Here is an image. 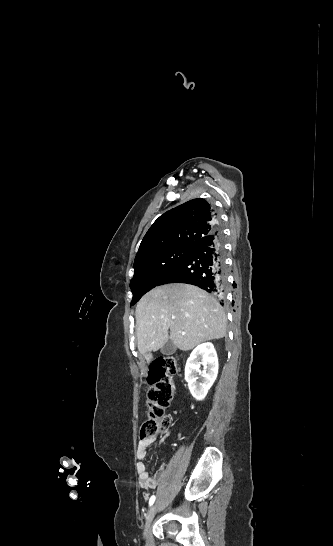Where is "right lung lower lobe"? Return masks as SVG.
<instances>
[{
  "mask_svg": "<svg viewBox=\"0 0 333 546\" xmlns=\"http://www.w3.org/2000/svg\"><path fill=\"white\" fill-rule=\"evenodd\" d=\"M168 283L192 284L221 296L225 293V249L223 235L218 226L196 242L188 256L166 274L158 285Z\"/></svg>",
  "mask_w": 333,
  "mask_h": 546,
  "instance_id": "right-lung-lower-lobe-1",
  "label": "right lung lower lobe"
}]
</instances>
